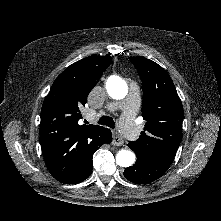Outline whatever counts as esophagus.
I'll use <instances>...</instances> for the list:
<instances>
[{
    "label": "esophagus",
    "instance_id": "34e87169",
    "mask_svg": "<svg viewBox=\"0 0 221 221\" xmlns=\"http://www.w3.org/2000/svg\"><path fill=\"white\" fill-rule=\"evenodd\" d=\"M123 144V139L117 130L112 131V145L120 146Z\"/></svg>",
    "mask_w": 221,
    "mask_h": 221
}]
</instances>
